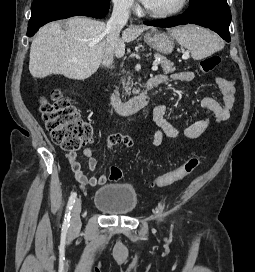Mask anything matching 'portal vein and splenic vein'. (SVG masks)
<instances>
[{"label": "portal vein and splenic vein", "instance_id": "portal-vein-and-splenic-vein-1", "mask_svg": "<svg viewBox=\"0 0 255 272\" xmlns=\"http://www.w3.org/2000/svg\"><path fill=\"white\" fill-rule=\"evenodd\" d=\"M152 70L153 71H157L158 70V63H153Z\"/></svg>", "mask_w": 255, "mask_h": 272}]
</instances>
